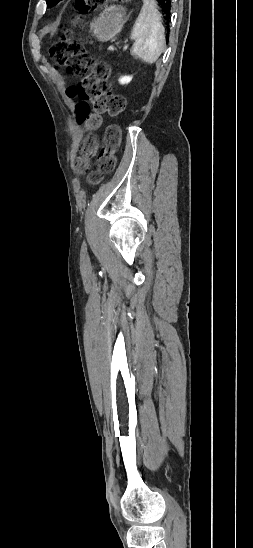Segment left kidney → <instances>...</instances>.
Listing matches in <instances>:
<instances>
[{"instance_id": "obj_1", "label": "left kidney", "mask_w": 253, "mask_h": 548, "mask_svg": "<svg viewBox=\"0 0 253 548\" xmlns=\"http://www.w3.org/2000/svg\"><path fill=\"white\" fill-rule=\"evenodd\" d=\"M132 80V76H123L119 79L121 84H127Z\"/></svg>"}]
</instances>
